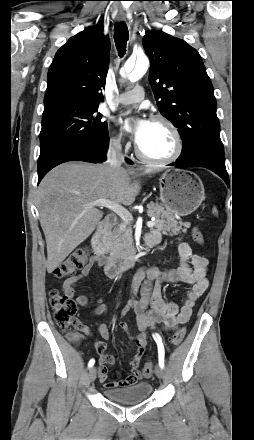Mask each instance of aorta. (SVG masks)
I'll list each match as a JSON object with an SVG mask.
<instances>
[{
    "mask_svg": "<svg viewBox=\"0 0 254 440\" xmlns=\"http://www.w3.org/2000/svg\"><path fill=\"white\" fill-rule=\"evenodd\" d=\"M148 67V58L145 55L138 56L136 61L128 60L125 63L124 72L126 75L130 74L132 81H137L146 73Z\"/></svg>",
    "mask_w": 254,
    "mask_h": 440,
    "instance_id": "762f6f07",
    "label": "aorta"
}]
</instances>
